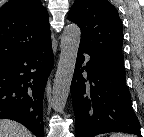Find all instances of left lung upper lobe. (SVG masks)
I'll return each instance as SVG.
<instances>
[{
	"label": "left lung upper lobe",
	"instance_id": "1",
	"mask_svg": "<svg viewBox=\"0 0 144 137\" xmlns=\"http://www.w3.org/2000/svg\"><path fill=\"white\" fill-rule=\"evenodd\" d=\"M69 20L81 29L80 45L94 55L123 65L122 22L108 0H75Z\"/></svg>",
	"mask_w": 144,
	"mask_h": 137
}]
</instances>
